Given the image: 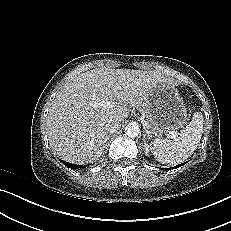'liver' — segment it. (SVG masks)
Wrapping results in <instances>:
<instances>
[{"label":"liver","mask_w":231,"mask_h":231,"mask_svg":"<svg viewBox=\"0 0 231 231\" xmlns=\"http://www.w3.org/2000/svg\"><path fill=\"white\" fill-rule=\"evenodd\" d=\"M159 82L174 85L156 71L102 67L80 74L61 88L50 107L46 127L52 151L76 164L98 160L108 140L106 125L113 121L121 125L129 106L143 108ZM93 101L114 104L94 107Z\"/></svg>","instance_id":"1"}]
</instances>
